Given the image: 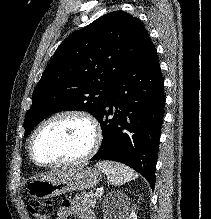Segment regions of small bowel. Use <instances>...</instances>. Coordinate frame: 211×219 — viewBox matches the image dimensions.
<instances>
[{
    "instance_id": "c3829d8e",
    "label": "small bowel",
    "mask_w": 211,
    "mask_h": 219,
    "mask_svg": "<svg viewBox=\"0 0 211 219\" xmlns=\"http://www.w3.org/2000/svg\"><path fill=\"white\" fill-rule=\"evenodd\" d=\"M71 216H77L81 219H96L92 210L83 205L80 198L64 201L57 212L56 219H69Z\"/></svg>"
}]
</instances>
